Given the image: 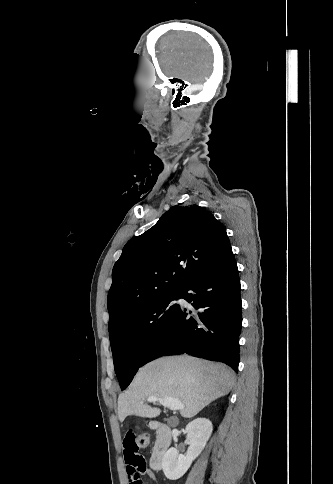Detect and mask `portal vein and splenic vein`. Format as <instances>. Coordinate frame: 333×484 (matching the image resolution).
Here are the masks:
<instances>
[{"mask_svg":"<svg viewBox=\"0 0 333 484\" xmlns=\"http://www.w3.org/2000/svg\"><path fill=\"white\" fill-rule=\"evenodd\" d=\"M145 401L149 403L157 401L163 406L168 407L172 411H177L184 408V405L181 403L179 399L171 398V397L161 398L157 396H150L146 400H142L141 403H144Z\"/></svg>","mask_w":333,"mask_h":484,"instance_id":"1","label":"portal vein and splenic vein"}]
</instances>
